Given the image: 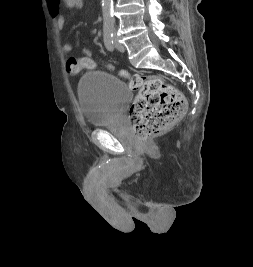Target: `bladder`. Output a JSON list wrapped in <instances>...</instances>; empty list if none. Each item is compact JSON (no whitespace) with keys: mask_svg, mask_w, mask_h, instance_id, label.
Instances as JSON below:
<instances>
[{"mask_svg":"<svg viewBox=\"0 0 253 267\" xmlns=\"http://www.w3.org/2000/svg\"><path fill=\"white\" fill-rule=\"evenodd\" d=\"M78 96L86 123L103 127L113 123L132 99V89L117 77L89 71L80 79Z\"/></svg>","mask_w":253,"mask_h":267,"instance_id":"obj_1","label":"bladder"}]
</instances>
